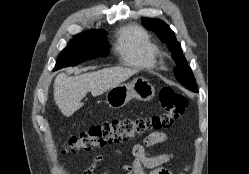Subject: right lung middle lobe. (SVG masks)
<instances>
[{"label":"right lung middle lobe","instance_id":"dd1d6c3e","mask_svg":"<svg viewBox=\"0 0 249 174\" xmlns=\"http://www.w3.org/2000/svg\"><path fill=\"white\" fill-rule=\"evenodd\" d=\"M109 53L107 33L105 30H90L75 35L61 52L55 70L75 66L81 62L105 57Z\"/></svg>","mask_w":249,"mask_h":174}]
</instances>
